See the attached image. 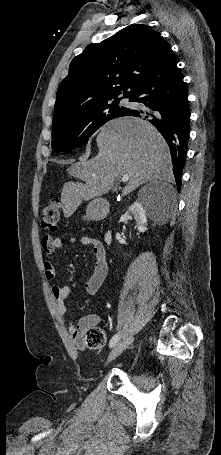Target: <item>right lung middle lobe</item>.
I'll return each mask as SVG.
<instances>
[{"instance_id":"right-lung-middle-lobe-1","label":"right lung middle lobe","mask_w":221,"mask_h":455,"mask_svg":"<svg viewBox=\"0 0 221 455\" xmlns=\"http://www.w3.org/2000/svg\"><path fill=\"white\" fill-rule=\"evenodd\" d=\"M121 99L114 98L101 102L78 114L53 123L52 148L56 152H69L74 147L85 145L88 142V137L103 124L114 118L124 116L128 112V108L118 105Z\"/></svg>"}]
</instances>
